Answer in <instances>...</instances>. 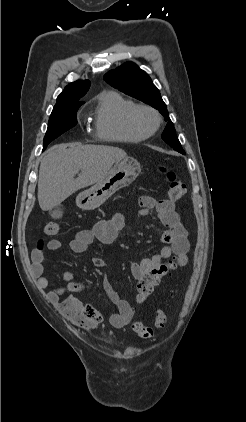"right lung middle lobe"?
Listing matches in <instances>:
<instances>
[{
    "mask_svg": "<svg viewBox=\"0 0 246 422\" xmlns=\"http://www.w3.org/2000/svg\"><path fill=\"white\" fill-rule=\"evenodd\" d=\"M82 104H70L53 108L44 137L43 150L51 141L77 124L76 113Z\"/></svg>",
    "mask_w": 246,
    "mask_h": 422,
    "instance_id": "obj_1",
    "label": "right lung middle lobe"
}]
</instances>
